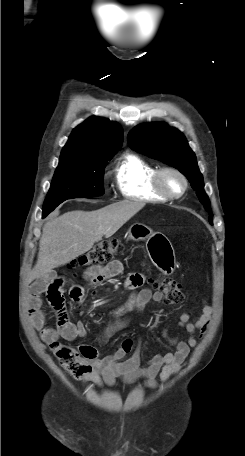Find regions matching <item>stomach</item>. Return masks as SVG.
I'll return each mask as SVG.
<instances>
[{
	"mask_svg": "<svg viewBox=\"0 0 245 456\" xmlns=\"http://www.w3.org/2000/svg\"><path fill=\"white\" fill-rule=\"evenodd\" d=\"M128 237L133 241H147V252L152 263L164 274L173 272L175 253L165 235L153 232L142 223H134L128 230Z\"/></svg>",
	"mask_w": 245,
	"mask_h": 456,
	"instance_id": "1",
	"label": "stomach"
}]
</instances>
